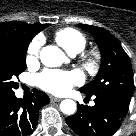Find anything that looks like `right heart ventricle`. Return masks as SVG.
I'll return each instance as SVG.
<instances>
[{
  "label": "right heart ventricle",
  "mask_w": 136,
  "mask_h": 136,
  "mask_svg": "<svg viewBox=\"0 0 136 136\" xmlns=\"http://www.w3.org/2000/svg\"><path fill=\"white\" fill-rule=\"evenodd\" d=\"M55 40L69 54L81 52L86 45L85 36L74 28H64L57 31Z\"/></svg>",
  "instance_id": "right-heart-ventricle-1"
}]
</instances>
